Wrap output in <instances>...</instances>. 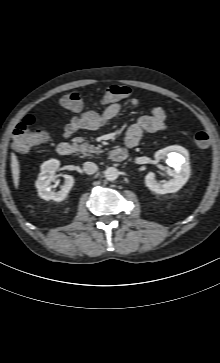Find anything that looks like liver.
Wrapping results in <instances>:
<instances>
[{"label":"liver","mask_w":220,"mask_h":363,"mask_svg":"<svg viewBox=\"0 0 220 363\" xmlns=\"http://www.w3.org/2000/svg\"><path fill=\"white\" fill-rule=\"evenodd\" d=\"M11 171H12L14 186L17 189L19 186L20 165L15 153L11 154Z\"/></svg>","instance_id":"obj_1"}]
</instances>
